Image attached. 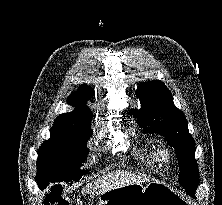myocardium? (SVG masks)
Returning <instances> with one entry per match:
<instances>
[{"mask_svg": "<svg viewBox=\"0 0 222 205\" xmlns=\"http://www.w3.org/2000/svg\"><path fill=\"white\" fill-rule=\"evenodd\" d=\"M159 157L163 162H169L172 159V152L168 148H162L159 150Z\"/></svg>", "mask_w": 222, "mask_h": 205, "instance_id": "obj_1", "label": "myocardium"}]
</instances>
